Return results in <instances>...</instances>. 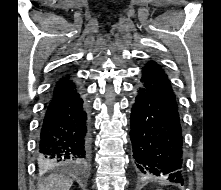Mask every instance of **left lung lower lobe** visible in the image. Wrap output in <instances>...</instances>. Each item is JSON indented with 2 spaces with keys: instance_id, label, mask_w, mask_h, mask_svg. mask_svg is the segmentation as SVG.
<instances>
[{
  "instance_id": "obj_1",
  "label": "left lung lower lobe",
  "mask_w": 221,
  "mask_h": 190,
  "mask_svg": "<svg viewBox=\"0 0 221 190\" xmlns=\"http://www.w3.org/2000/svg\"><path fill=\"white\" fill-rule=\"evenodd\" d=\"M130 128L136 171L183 184V137L176 96L164 70L154 61L142 69Z\"/></svg>"
}]
</instances>
